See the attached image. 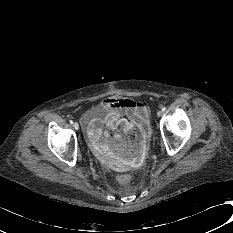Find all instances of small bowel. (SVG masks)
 Wrapping results in <instances>:
<instances>
[{"instance_id":"1","label":"small bowel","mask_w":233,"mask_h":233,"mask_svg":"<svg viewBox=\"0 0 233 233\" xmlns=\"http://www.w3.org/2000/svg\"><path fill=\"white\" fill-rule=\"evenodd\" d=\"M102 104L108 110L105 121L93 119L87 124L93 147L123 163H136L142 157L145 142L144 132L136 125H146L149 116L147 106L139 101L117 97L107 98ZM116 123H120V130L114 129ZM104 124L109 128L103 130Z\"/></svg>"}]
</instances>
